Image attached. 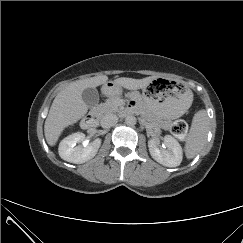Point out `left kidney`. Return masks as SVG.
Wrapping results in <instances>:
<instances>
[{"instance_id":"left-kidney-1","label":"left kidney","mask_w":243,"mask_h":243,"mask_svg":"<svg viewBox=\"0 0 243 243\" xmlns=\"http://www.w3.org/2000/svg\"><path fill=\"white\" fill-rule=\"evenodd\" d=\"M164 145L167 149H159V141L157 139L148 141L149 152L152 158L166 167L179 166L183 158L179 142L171 135H166L164 137Z\"/></svg>"}]
</instances>
